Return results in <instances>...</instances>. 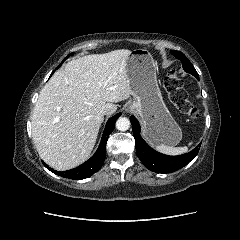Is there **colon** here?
<instances>
[{"label": "colon", "instance_id": "colon-1", "mask_svg": "<svg viewBox=\"0 0 240 240\" xmlns=\"http://www.w3.org/2000/svg\"><path fill=\"white\" fill-rule=\"evenodd\" d=\"M164 87L171 102L181 113L190 118H197L199 116L197 107L188 99L187 93L182 85V80L176 69H172L167 73L164 79Z\"/></svg>", "mask_w": 240, "mask_h": 240}]
</instances>
